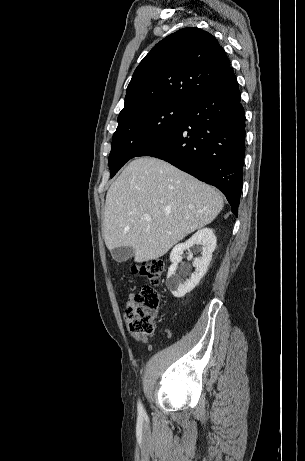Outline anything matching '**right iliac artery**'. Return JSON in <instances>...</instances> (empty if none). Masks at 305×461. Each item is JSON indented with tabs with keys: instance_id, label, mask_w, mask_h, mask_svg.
Masks as SVG:
<instances>
[{
	"instance_id": "right-iliac-artery-1",
	"label": "right iliac artery",
	"mask_w": 305,
	"mask_h": 461,
	"mask_svg": "<svg viewBox=\"0 0 305 461\" xmlns=\"http://www.w3.org/2000/svg\"><path fill=\"white\" fill-rule=\"evenodd\" d=\"M137 408H138V413H139V414L142 415V414L145 413V412H144V409H143V406H142V404H141L140 401L138 402V407H137Z\"/></svg>"
}]
</instances>
